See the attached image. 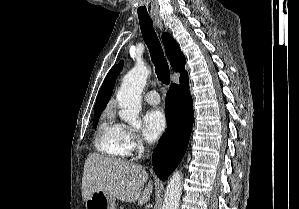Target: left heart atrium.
I'll return each mask as SVG.
<instances>
[{"label": "left heart atrium", "instance_id": "39dd6f15", "mask_svg": "<svg viewBox=\"0 0 299 209\" xmlns=\"http://www.w3.org/2000/svg\"><path fill=\"white\" fill-rule=\"evenodd\" d=\"M167 127V118L160 109L150 110L144 117V135L148 141L157 140Z\"/></svg>", "mask_w": 299, "mask_h": 209}]
</instances>
